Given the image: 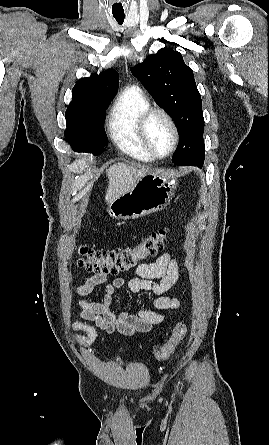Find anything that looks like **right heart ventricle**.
<instances>
[{
    "label": "right heart ventricle",
    "mask_w": 269,
    "mask_h": 445,
    "mask_svg": "<svg viewBox=\"0 0 269 445\" xmlns=\"http://www.w3.org/2000/svg\"><path fill=\"white\" fill-rule=\"evenodd\" d=\"M149 108L147 97L139 89L128 87L118 96L108 117V131L117 148L144 162L155 159L145 149L138 134L139 119Z\"/></svg>",
    "instance_id": "obj_1"
}]
</instances>
